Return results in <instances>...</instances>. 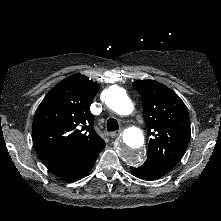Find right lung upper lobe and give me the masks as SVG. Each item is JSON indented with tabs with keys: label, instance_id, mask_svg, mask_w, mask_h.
Segmentation results:
<instances>
[{
	"label": "right lung upper lobe",
	"instance_id": "1",
	"mask_svg": "<svg viewBox=\"0 0 221 221\" xmlns=\"http://www.w3.org/2000/svg\"><path fill=\"white\" fill-rule=\"evenodd\" d=\"M100 86L81 74L59 82L36 110L32 138L49 168L72 163L105 144L93 130L90 105Z\"/></svg>",
	"mask_w": 221,
	"mask_h": 221
}]
</instances>
